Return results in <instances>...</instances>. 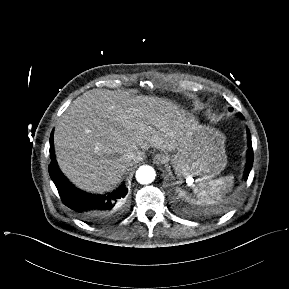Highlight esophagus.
<instances>
[{
	"label": "esophagus",
	"instance_id": "esophagus-1",
	"mask_svg": "<svg viewBox=\"0 0 289 289\" xmlns=\"http://www.w3.org/2000/svg\"><path fill=\"white\" fill-rule=\"evenodd\" d=\"M168 161V157L163 153H157L153 157V162L156 165L165 164Z\"/></svg>",
	"mask_w": 289,
	"mask_h": 289
}]
</instances>
